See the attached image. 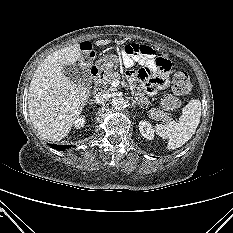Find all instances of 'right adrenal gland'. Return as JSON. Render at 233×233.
Listing matches in <instances>:
<instances>
[{
    "label": "right adrenal gland",
    "instance_id": "right-adrenal-gland-1",
    "mask_svg": "<svg viewBox=\"0 0 233 233\" xmlns=\"http://www.w3.org/2000/svg\"><path fill=\"white\" fill-rule=\"evenodd\" d=\"M88 103H89L90 105L95 104V102L92 101V100H90Z\"/></svg>",
    "mask_w": 233,
    "mask_h": 233
}]
</instances>
